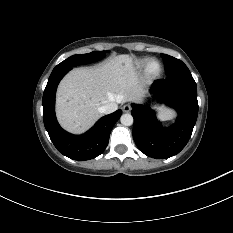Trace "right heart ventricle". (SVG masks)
I'll return each instance as SVG.
<instances>
[{
	"label": "right heart ventricle",
	"mask_w": 233,
	"mask_h": 233,
	"mask_svg": "<svg viewBox=\"0 0 233 233\" xmlns=\"http://www.w3.org/2000/svg\"><path fill=\"white\" fill-rule=\"evenodd\" d=\"M148 59H141L135 63V69L141 71L145 68Z\"/></svg>",
	"instance_id": "right-heart-ventricle-1"
}]
</instances>
